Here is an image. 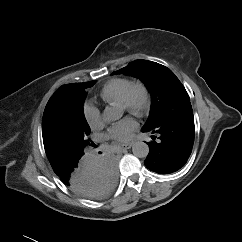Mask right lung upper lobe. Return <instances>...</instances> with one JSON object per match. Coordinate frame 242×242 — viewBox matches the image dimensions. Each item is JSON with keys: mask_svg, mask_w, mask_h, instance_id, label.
Instances as JSON below:
<instances>
[{"mask_svg": "<svg viewBox=\"0 0 242 242\" xmlns=\"http://www.w3.org/2000/svg\"><path fill=\"white\" fill-rule=\"evenodd\" d=\"M84 83H73L61 86L50 98L46 108L51 107L52 105L64 101L71 100L74 98L84 86ZM45 108V109H46Z\"/></svg>", "mask_w": 242, "mask_h": 242, "instance_id": "right-lung-upper-lobe-1", "label": "right lung upper lobe"}]
</instances>
